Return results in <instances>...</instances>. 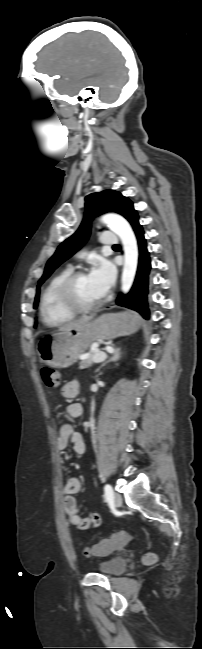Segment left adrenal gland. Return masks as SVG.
Listing matches in <instances>:
<instances>
[{
	"mask_svg": "<svg viewBox=\"0 0 202 649\" xmlns=\"http://www.w3.org/2000/svg\"><path fill=\"white\" fill-rule=\"evenodd\" d=\"M121 354H122L121 349L115 348L112 356L106 362H104L99 368H97L96 372H100L101 368L106 366V364H108L109 362H117L120 359Z\"/></svg>",
	"mask_w": 202,
	"mask_h": 649,
	"instance_id": "1",
	"label": "left adrenal gland"
}]
</instances>
